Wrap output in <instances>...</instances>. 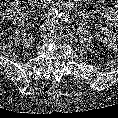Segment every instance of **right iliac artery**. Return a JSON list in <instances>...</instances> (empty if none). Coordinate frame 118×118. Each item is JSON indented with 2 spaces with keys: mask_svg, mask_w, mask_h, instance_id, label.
<instances>
[{
  "mask_svg": "<svg viewBox=\"0 0 118 118\" xmlns=\"http://www.w3.org/2000/svg\"><path fill=\"white\" fill-rule=\"evenodd\" d=\"M58 16V11L57 9H51L47 14L46 18H56Z\"/></svg>",
  "mask_w": 118,
  "mask_h": 118,
  "instance_id": "82829eb1",
  "label": "right iliac artery"
}]
</instances>
